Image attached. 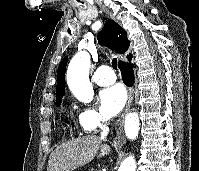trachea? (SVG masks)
Instances as JSON below:
<instances>
[{"label":"trachea","instance_id":"trachea-1","mask_svg":"<svg viewBox=\"0 0 199 171\" xmlns=\"http://www.w3.org/2000/svg\"><path fill=\"white\" fill-rule=\"evenodd\" d=\"M112 67H113V69L117 70V59L116 58L112 59Z\"/></svg>","mask_w":199,"mask_h":171}]
</instances>
